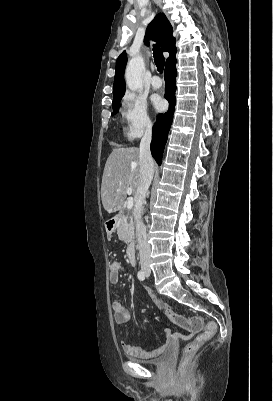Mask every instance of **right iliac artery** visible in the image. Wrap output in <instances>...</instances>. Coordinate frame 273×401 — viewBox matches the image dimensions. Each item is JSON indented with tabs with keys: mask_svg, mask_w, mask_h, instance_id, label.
Listing matches in <instances>:
<instances>
[{
	"mask_svg": "<svg viewBox=\"0 0 273 401\" xmlns=\"http://www.w3.org/2000/svg\"><path fill=\"white\" fill-rule=\"evenodd\" d=\"M137 276L139 280H144L146 277L145 273L142 270L138 272Z\"/></svg>",
	"mask_w": 273,
	"mask_h": 401,
	"instance_id": "82829eb1",
	"label": "right iliac artery"
}]
</instances>
